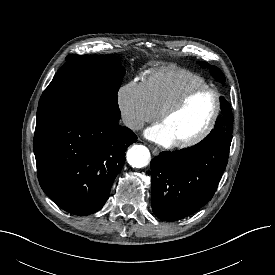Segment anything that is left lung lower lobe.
<instances>
[{"label":"left lung lower lobe","mask_w":275,"mask_h":275,"mask_svg":"<svg viewBox=\"0 0 275 275\" xmlns=\"http://www.w3.org/2000/svg\"><path fill=\"white\" fill-rule=\"evenodd\" d=\"M232 133L211 132L191 148L151 160L152 209L164 221L187 217L213 197L229 156Z\"/></svg>","instance_id":"1"}]
</instances>
